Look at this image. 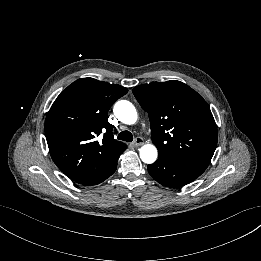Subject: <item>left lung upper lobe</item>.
<instances>
[{
  "label": "left lung upper lobe",
  "mask_w": 261,
  "mask_h": 261,
  "mask_svg": "<svg viewBox=\"0 0 261 261\" xmlns=\"http://www.w3.org/2000/svg\"><path fill=\"white\" fill-rule=\"evenodd\" d=\"M132 92L148 113L159 157L207 168L218 132L206 101L183 82L174 80L143 84Z\"/></svg>",
  "instance_id": "5c2ea615"
}]
</instances>
